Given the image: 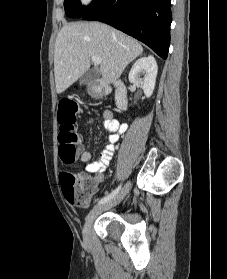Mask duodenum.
Listing matches in <instances>:
<instances>
[{"label":"duodenum","mask_w":227,"mask_h":279,"mask_svg":"<svg viewBox=\"0 0 227 279\" xmlns=\"http://www.w3.org/2000/svg\"><path fill=\"white\" fill-rule=\"evenodd\" d=\"M111 88L114 92L118 108L121 110H126L128 105L126 85L122 82H115ZM111 88L104 82L99 81L93 86L90 96L92 98L104 97L110 93Z\"/></svg>","instance_id":"410a0bca"}]
</instances>
